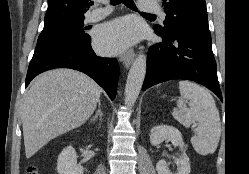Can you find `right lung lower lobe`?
<instances>
[{"label":"right lung lower lobe","instance_id":"98d812e1","mask_svg":"<svg viewBox=\"0 0 249 174\" xmlns=\"http://www.w3.org/2000/svg\"><path fill=\"white\" fill-rule=\"evenodd\" d=\"M53 68H71L94 79L114 100L117 93L119 66L115 58L96 56L90 40L86 42H64L35 49L30 61L26 87L38 74Z\"/></svg>","mask_w":249,"mask_h":174}]
</instances>
